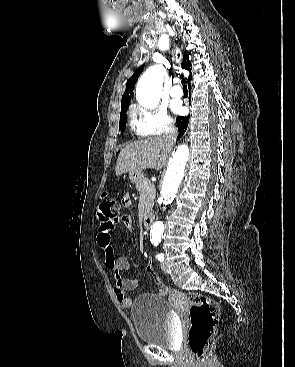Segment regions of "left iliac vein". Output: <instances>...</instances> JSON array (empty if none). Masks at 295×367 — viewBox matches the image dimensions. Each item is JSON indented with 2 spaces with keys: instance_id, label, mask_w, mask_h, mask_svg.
Instances as JSON below:
<instances>
[{
  "instance_id": "obj_1",
  "label": "left iliac vein",
  "mask_w": 295,
  "mask_h": 367,
  "mask_svg": "<svg viewBox=\"0 0 295 367\" xmlns=\"http://www.w3.org/2000/svg\"><path fill=\"white\" fill-rule=\"evenodd\" d=\"M161 269L165 272V273H168L169 272V269H168V264L166 261H163L161 263Z\"/></svg>"
}]
</instances>
